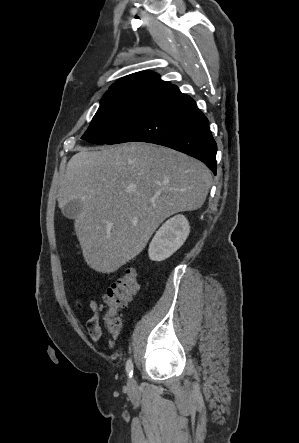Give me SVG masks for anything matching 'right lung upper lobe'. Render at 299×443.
Segmentation results:
<instances>
[{
	"instance_id": "obj_1",
	"label": "right lung upper lobe",
	"mask_w": 299,
	"mask_h": 443,
	"mask_svg": "<svg viewBox=\"0 0 299 443\" xmlns=\"http://www.w3.org/2000/svg\"><path fill=\"white\" fill-rule=\"evenodd\" d=\"M169 82L162 81L158 74L152 71H141L125 76L116 81L109 91L125 88L159 87L169 89L172 87Z\"/></svg>"
}]
</instances>
